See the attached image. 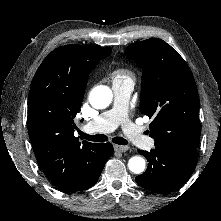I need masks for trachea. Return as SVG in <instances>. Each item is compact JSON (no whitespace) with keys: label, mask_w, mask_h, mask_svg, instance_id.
Here are the masks:
<instances>
[{"label":"trachea","mask_w":221,"mask_h":221,"mask_svg":"<svg viewBox=\"0 0 221 221\" xmlns=\"http://www.w3.org/2000/svg\"><path fill=\"white\" fill-rule=\"evenodd\" d=\"M82 139H86L89 141H94V142H104L108 140V137L106 135L102 134H97V135H89L83 132L79 133ZM112 142L119 144V145H127V140H125L122 137H114L112 139Z\"/></svg>","instance_id":"3493384b"}]
</instances>
